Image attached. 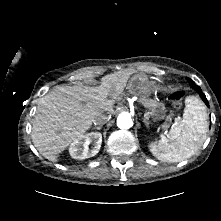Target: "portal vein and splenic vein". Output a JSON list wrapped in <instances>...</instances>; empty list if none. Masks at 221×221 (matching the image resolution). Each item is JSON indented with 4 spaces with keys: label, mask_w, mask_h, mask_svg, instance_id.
<instances>
[{
    "label": "portal vein and splenic vein",
    "mask_w": 221,
    "mask_h": 221,
    "mask_svg": "<svg viewBox=\"0 0 221 221\" xmlns=\"http://www.w3.org/2000/svg\"><path fill=\"white\" fill-rule=\"evenodd\" d=\"M149 115H150V113L146 112L144 116H145V118H149Z\"/></svg>",
    "instance_id": "18ae733b"
}]
</instances>
